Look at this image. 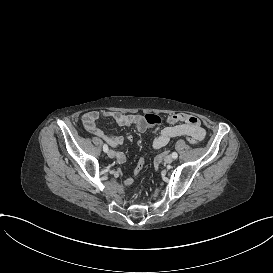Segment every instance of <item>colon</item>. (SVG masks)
Wrapping results in <instances>:
<instances>
[{"label": "colon", "instance_id": "colon-1", "mask_svg": "<svg viewBox=\"0 0 273 273\" xmlns=\"http://www.w3.org/2000/svg\"><path fill=\"white\" fill-rule=\"evenodd\" d=\"M143 117H144L145 122L151 126L158 127L163 123V118L159 114L147 113V114H144ZM144 159H145V156L141 155L139 157L138 162H137L138 164L134 168L136 171V178L138 180H141L143 178V171L142 170L144 169V167H145L144 165L146 163Z\"/></svg>", "mask_w": 273, "mask_h": 273}]
</instances>
